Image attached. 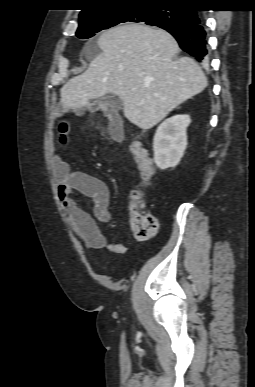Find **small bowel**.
I'll return each mask as SVG.
<instances>
[{
    "mask_svg": "<svg viewBox=\"0 0 255 387\" xmlns=\"http://www.w3.org/2000/svg\"><path fill=\"white\" fill-rule=\"evenodd\" d=\"M110 133L113 139L121 142L123 129L119 120H111ZM70 127L66 120L58 125V135L53 142L52 167L58 182L57 196L64 217L77 237L88 247L107 249L108 251L124 254L125 245L111 242L101 231L97 221L108 223L112 219L110 211V191L102 180L81 171H74L57 152L58 148H65L69 142ZM77 191L93 201V216L82 209L72 198Z\"/></svg>",
    "mask_w": 255,
    "mask_h": 387,
    "instance_id": "c3829d8e",
    "label": "small bowel"
}]
</instances>
